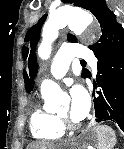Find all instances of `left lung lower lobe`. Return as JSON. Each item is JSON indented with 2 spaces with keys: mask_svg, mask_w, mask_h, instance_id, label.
<instances>
[{
  "mask_svg": "<svg viewBox=\"0 0 124 149\" xmlns=\"http://www.w3.org/2000/svg\"><path fill=\"white\" fill-rule=\"evenodd\" d=\"M97 70L96 122L112 121L124 131V48L100 57Z\"/></svg>",
  "mask_w": 124,
  "mask_h": 149,
  "instance_id": "0a47b994",
  "label": "left lung lower lobe"
}]
</instances>
